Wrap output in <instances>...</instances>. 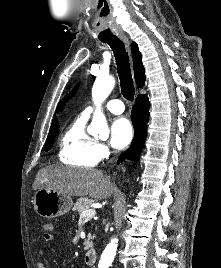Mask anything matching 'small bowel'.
<instances>
[{
  "mask_svg": "<svg viewBox=\"0 0 221 268\" xmlns=\"http://www.w3.org/2000/svg\"><path fill=\"white\" fill-rule=\"evenodd\" d=\"M43 239L45 242H52L55 239V234L53 233V228L49 232H45ZM46 251L43 247L37 250V268H47L44 258Z\"/></svg>",
  "mask_w": 221,
  "mask_h": 268,
  "instance_id": "c3829d8e",
  "label": "small bowel"
}]
</instances>
